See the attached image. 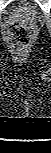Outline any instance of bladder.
<instances>
[{
	"instance_id": "1",
	"label": "bladder",
	"mask_w": 51,
	"mask_h": 153,
	"mask_svg": "<svg viewBox=\"0 0 51 153\" xmlns=\"http://www.w3.org/2000/svg\"><path fill=\"white\" fill-rule=\"evenodd\" d=\"M13 14L26 20H35L38 17V10L30 3H18L13 7Z\"/></svg>"
}]
</instances>
